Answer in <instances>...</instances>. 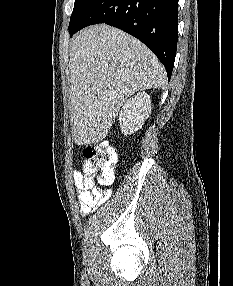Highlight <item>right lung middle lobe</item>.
I'll list each match as a JSON object with an SVG mask.
<instances>
[{
  "label": "right lung middle lobe",
  "instance_id": "obj_1",
  "mask_svg": "<svg viewBox=\"0 0 233 286\" xmlns=\"http://www.w3.org/2000/svg\"><path fill=\"white\" fill-rule=\"evenodd\" d=\"M91 0H75L74 9L70 18L69 28L73 27L82 16Z\"/></svg>",
  "mask_w": 233,
  "mask_h": 286
}]
</instances>
